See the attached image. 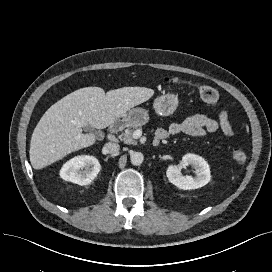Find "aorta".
Returning a JSON list of instances; mask_svg holds the SVG:
<instances>
[{
    "label": "aorta",
    "instance_id": "obj_1",
    "mask_svg": "<svg viewBox=\"0 0 272 272\" xmlns=\"http://www.w3.org/2000/svg\"><path fill=\"white\" fill-rule=\"evenodd\" d=\"M144 156L141 152H133L130 155V161L133 165L139 166L143 163Z\"/></svg>",
    "mask_w": 272,
    "mask_h": 272
}]
</instances>
